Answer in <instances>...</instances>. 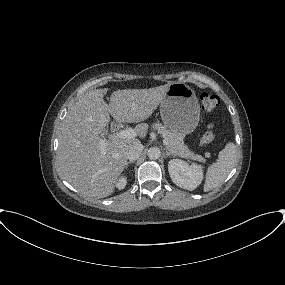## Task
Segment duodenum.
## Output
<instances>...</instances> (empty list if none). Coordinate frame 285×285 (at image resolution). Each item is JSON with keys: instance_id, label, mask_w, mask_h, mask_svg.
Wrapping results in <instances>:
<instances>
[{"instance_id": "obj_1", "label": "duodenum", "mask_w": 285, "mask_h": 285, "mask_svg": "<svg viewBox=\"0 0 285 285\" xmlns=\"http://www.w3.org/2000/svg\"><path fill=\"white\" fill-rule=\"evenodd\" d=\"M120 124L119 123H115L114 125H113V128H114V130H119L120 129Z\"/></svg>"}]
</instances>
